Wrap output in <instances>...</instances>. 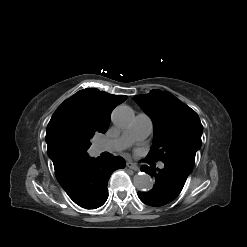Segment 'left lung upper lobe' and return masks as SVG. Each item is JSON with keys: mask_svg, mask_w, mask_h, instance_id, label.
<instances>
[{"mask_svg": "<svg viewBox=\"0 0 247 247\" xmlns=\"http://www.w3.org/2000/svg\"><path fill=\"white\" fill-rule=\"evenodd\" d=\"M152 118L154 140L148 157L192 172L203 126L197 113L169 92L152 90L134 97Z\"/></svg>", "mask_w": 247, "mask_h": 247, "instance_id": "obj_1", "label": "left lung upper lobe"}]
</instances>
